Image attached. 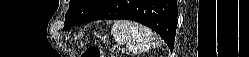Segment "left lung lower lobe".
I'll return each mask as SVG.
<instances>
[{
    "label": "left lung lower lobe",
    "instance_id": "obj_1",
    "mask_svg": "<svg viewBox=\"0 0 249 57\" xmlns=\"http://www.w3.org/2000/svg\"><path fill=\"white\" fill-rule=\"evenodd\" d=\"M178 14L176 0H111L86 22L100 19H128L156 31L172 50Z\"/></svg>",
    "mask_w": 249,
    "mask_h": 57
}]
</instances>
